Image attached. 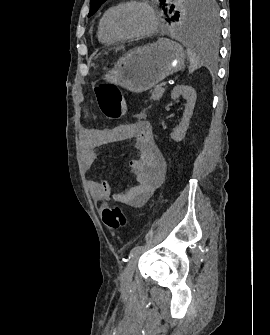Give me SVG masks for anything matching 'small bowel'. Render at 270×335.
<instances>
[{"instance_id":"c3829d8e","label":"small bowel","mask_w":270,"mask_h":335,"mask_svg":"<svg viewBox=\"0 0 270 335\" xmlns=\"http://www.w3.org/2000/svg\"><path fill=\"white\" fill-rule=\"evenodd\" d=\"M104 130L85 128L83 130V160L87 166L94 164L96 149L102 143ZM119 139H133L138 157L128 163L135 184L121 193H112L108 181L89 180L88 187L95 201H116L129 207L144 204L162 183L165 174V161L159 154L152 137L151 124L146 120L122 125L118 128Z\"/></svg>"}]
</instances>
